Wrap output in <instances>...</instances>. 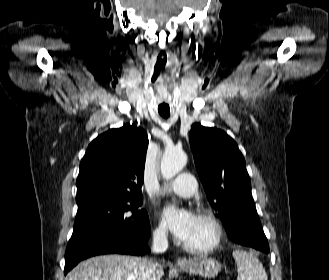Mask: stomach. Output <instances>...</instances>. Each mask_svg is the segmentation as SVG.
<instances>
[{"instance_id":"0dacf381","label":"stomach","mask_w":329,"mask_h":280,"mask_svg":"<svg viewBox=\"0 0 329 280\" xmlns=\"http://www.w3.org/2000/svg\"><path fill=\"white\" fill-rule=\"evenodd\" d=\"M180 268L192 275L205 278H213L221 271V264L211 258H202L192 261L189 265L180 266Z\"/></svg>"}]
</instances>
